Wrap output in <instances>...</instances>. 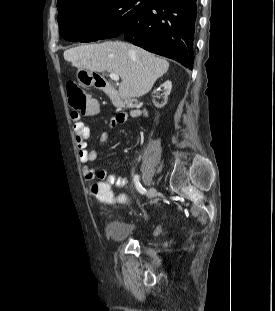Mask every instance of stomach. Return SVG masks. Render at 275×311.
Wrapping results in <instances>:
<instances>
[{"label": "stomach", "instance_id": "0dacf381", "mask_svg": "<svg viewBox=\"0 0 275 311\" xmlns=\"http://www.w3.org/2000/svg\"><path fill=\"white\" fill-rule=\"evenodd\" d=\"M91 71L86 69H78L77 71V79L79 83L85 87L95 86L93 81L91 80Z\"/></svg>", "mask_w": 275, "mask_h": 311}]
</instances>
